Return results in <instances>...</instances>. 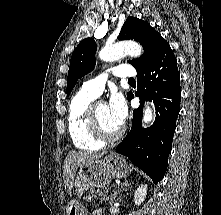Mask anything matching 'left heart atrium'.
I'll use <instances>...</instances> for the list:
<instances>
[{"mask_svg":"<svg viewBox=\"0 0 221 215\" xmlns=\"http://www.w3.org/2000/svg\"><path fill=\"white\" fill-rule=\"evenodd\" d=\"M107 106L112 121L121 127L125 122L128 113L126 101L122 94H113Z\"/></svg>","mask_w":221,"mask_h":215,"instance_id":"left-heart-atrium-1","label":"left heart atrium"}]
</instances>
